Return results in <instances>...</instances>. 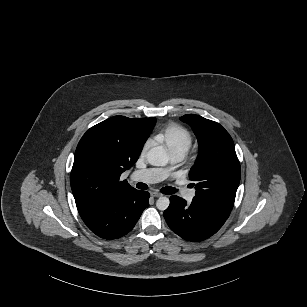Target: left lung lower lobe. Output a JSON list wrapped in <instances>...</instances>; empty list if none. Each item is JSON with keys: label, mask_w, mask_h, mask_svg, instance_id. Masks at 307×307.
Returning <instances> with one entry per match:
<instances>
[{"label": "left lung lower lobe", "mask_w": 307, "mask_h": 307, "mask_svg": "<svg viewBox=\"0 0 307 307\" xmlns=\"http://www.w3.org/2000/svg\"><path fill=\"white\" fill-rule=\"evenodd\" d=\"M164 218L176 234L185 240L202 241L216 233L226 218L213 214L204 208L187 202L178 196L170 197V205L164 211Z\"/></svg>", "instance_id": "1"}]
</instances>
